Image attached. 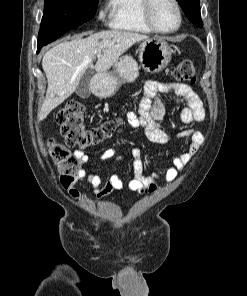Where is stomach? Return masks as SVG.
I'll return each mask as SVG.
<instances>
[{
	"mask_svg": "<svg viewBox=\"0 0 247 296\" xmlns=\"http://www.w3.org/2000/svg\"><path fill=\"white\" fill-rule=\"evenodd\" d=\"M172 53L171 45L164 38H149L140 44L139 61L145 71L158 73L169 64ZM138 74L137 62L131 56H122L113 65V72L94 76V93L101 98L110 97L123 83L134 81Z\"/></svg>",
	"mask_w": 247,
	"mask_h": 296,
	"instance_id": "1",
	"label": "stomach"
}]
</instances>
